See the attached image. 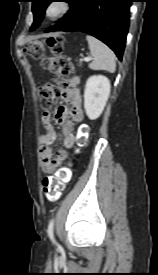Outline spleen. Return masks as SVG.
I'll return each mask as SVG.
<instances>
[{"instance_id": "obj_1", "label": "spleen", "mask_w": 158, "mask_h": 275, "mask_svg": "<svg viewBox=\"0 0 158 275\" xmlns=\"http://www.w3.org/2000/svg\"><path fill=\"white\" fill-rule=\"evenodd\" d=\"M86 39L88 41L90 53L93 56V61L90 63L89 67L93 70H106L113 73L116 69L113 51L93 36L88 35Z\"/></svg>"}]
</instances>
